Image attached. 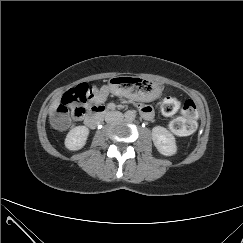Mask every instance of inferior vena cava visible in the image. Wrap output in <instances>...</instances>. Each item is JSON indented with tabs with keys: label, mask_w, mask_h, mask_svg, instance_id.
<instances>
[{
	"label": "inferior vena cava",
	"mask_w": 243,
	"mask_h": 243,
	"mask_svg": "<svg viewBox=\"0 0 243 243\" xmlns=\"http://www.w3.org/2000/svg\"><path fill=\"white\" fill-rule=\"evenodd\" d=\"M123 118V114L121 112H109L105 116V121L107 123H111L113 121H117Z\"/></svg>",
	"instance_id": "obj_1"
}]
</instances>
